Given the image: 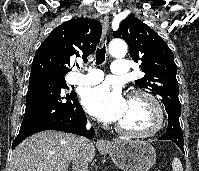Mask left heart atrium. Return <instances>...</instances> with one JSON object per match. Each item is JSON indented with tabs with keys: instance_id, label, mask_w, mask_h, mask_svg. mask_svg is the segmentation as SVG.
Returning a JSON list of instances; mask_svg holds the SVG:
<instances>
[{
	"instance_id": "1",
	"label": "left heart atrium",
	"mask_w": 199,
	"mask_h": 171,
	"mask_svg": "<svg viewBox=\"0 0 199 171\" xmlns=\"http://www.w3.org/2000/svg\"><path fill=\"white\" fill-rule=\"evenodd\" d=\"M82 104L94 117L105 122H118L124 114L127 100L118 88L100 84L84 90Z\"/></svg>"
}]
</instances>
